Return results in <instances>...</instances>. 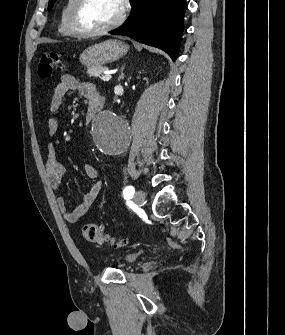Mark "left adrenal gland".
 Segmentation results:
<instances>
[{"label":"left adrenal gland","instance_id":"1","mask_svg":"<svg viewBox=\"0 0 285 335\" xmlns=\"http://www.w3.org/2000/svg\"><path fill=\"white\" fill-rule=\"evenodd\" d=\"M124 68H125V66H123V68H121V76H119L120 80H124V76H125V74H123Z\"/></svg>","mask_w":285,"mask_h":335}]
</instances>
